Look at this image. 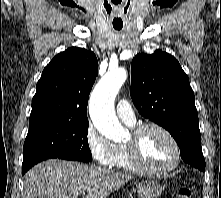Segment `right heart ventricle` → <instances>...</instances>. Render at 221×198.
<instances>
[{
  "mask_svg": "<svg viewBox=\"0 0 221 198\" xmlns=\"http://www.w3.org/2000/svg\"><path fill=\"white\" fill-rule=\"evenodd\" d=\"M132 126V125H130ZM112 167H115L120 170L125 171H136L137 169L132 165L128 151L125 144H116L115 145V153L114 159L112 163Z\"/></svg>",
  "mask_w": 221,
  "mask_h": 198,
  "instance_id": "1",
  "label": "right heart ventricle"
}]
</instances>
